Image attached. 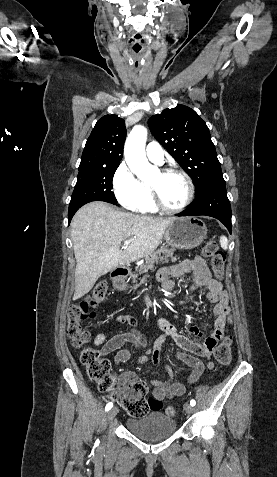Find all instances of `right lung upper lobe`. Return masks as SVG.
I'll return each instance as SVG.
<instances>
[{
	"mask_svg": "<svg viewBox=\"0 0 277 477\" xmlns=\"http://www.w3.org/2000/svg\"><path fill=\"white\" fill-rule=\"evenodd\" d=\"M125 138L123 119L116 115L100 118L86 142L79 170L119 166Z\"/></svg>",
	"mask_w": 277,
	"mask_h": 477,
	"instance_id": "obj_1",
	"label": "right lung upper lobe"
}]
</instances>
